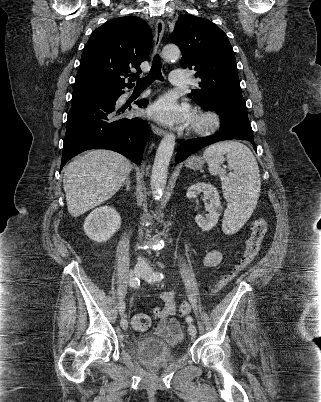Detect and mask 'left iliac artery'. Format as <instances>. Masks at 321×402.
Here are the masks:
<instances>
[{
    "label": "left iliac artery",
    "mask_w": 321,
    "mask_h": 402,
    "mask_svg": "<svg viewBox=\"0 0 321 402\" xmlns=\"http://www.w3.org/2000/svg\"><path fill=\"white\" fill-rule=\"evenodd\" d=\"M153 278L155 281H161L164 278V275L162 273L156 272V273H153ZM186 321L188 323H191L193 321V319H192V317L188 316L186 318Z\"/></svg>",
    "instance_id": "obj_1"
}]
</instances>
